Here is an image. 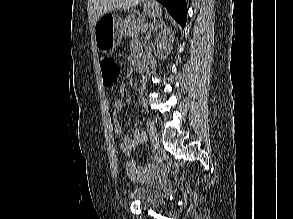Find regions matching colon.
Masks as SVG:
<instances>
[{
	"mask_svg": "<svg viewBox=\"0 0 293 219\" xmlns=\"http://www.w3.org/2000/svg\"><path fill=\"white\" fill-rule=\"evenodd\" d=\"M103 83L105 86H112L120 73V68L117 61L109 55H104L100 59ZM146 139L144 140V142ZM126 169L133 175L136 168L132 160L126 162Z\"/></svg>",
	"mask_w": 293,
	"mask_h": 219,
	"instance_id": "5ec220e1",
	"label": "colon"
}]
</instances>
